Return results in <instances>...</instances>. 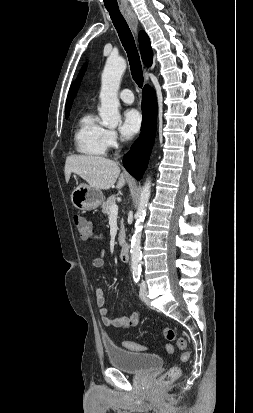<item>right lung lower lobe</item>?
<instances>
[{
  "label": "right lung lower lobe",
  "instance_id": "1",
  "mask_svg": "<svg viewBox=\"0 0 253 413\" xmlns=\"http://www.w3.org/2000/svg\"><path fill=\"white\" fill-rule=\"evenodd\" d=\"M142 111L141 134L123 157L124 167L138 180L147 168L156 133L157 103L155 92L148 85L142 90Z\"/></svg>",
  "mask_w": 253,
  "mask_h": 413
}]
</instances>
